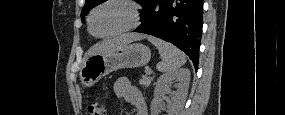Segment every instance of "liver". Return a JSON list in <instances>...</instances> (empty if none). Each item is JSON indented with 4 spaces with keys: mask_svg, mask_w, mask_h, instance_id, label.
Here are the masks:
<instances>
[{
    "mask_svg": "<svg viewBox=\"0 0 285 115\" xmlns=\"http://www.w3.org/2000/svg\"><path fill=\"white\" fill-rule=\"evenodd\" d=\"M143 38H145V36L141 34H124L122 36H119V37H116L110 40H105L101 42L100 44L96 45L92 49L90 55L109 53V52H112L118 48H121L129 44L130 42L134 40H140Z\"/></svg>",
    "mask_w": 285,
    "mask_h": 115,
    "instance_id": "1",
    "label": "liver"
}]
</instances>
